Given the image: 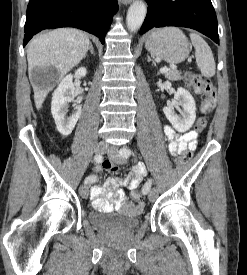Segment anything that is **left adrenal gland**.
<instances>
[{
  "mask_svg": "<svg viewBox=\"0 0 247 275\" xmlns=\"http://www.w3.org/2000/svg\"><path fill=\"white\" fill-rule=\"evenodd\" d=\"M148 62H151L152 61V63H153V65H155L156 66V63L148 56V60H147Z\"/></svg>",
  "mask_w": 247,
  "mask_h": 275,
  "instance_id": "left-adrenal-gland-1",
  "label": "left adrenal gland"
}]
</instances>
